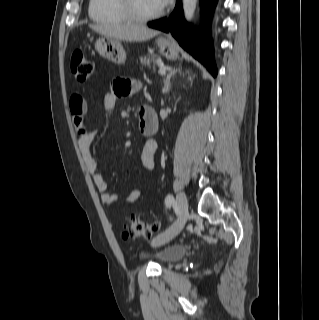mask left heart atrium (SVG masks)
Returning <instances> with one entry per match:
<instances>
[{
    "mask_svg": "<svg viewBox=\"0 0 319 320\" xmlns=\"http://www.w3.org/2000/svg\"><path fill=\"white\" fill-rule=\"evenodd\" d=\"M171 0H155L160 9L165 8Z\"/></svg>",
    "mask_w": 319,
    "mask_h": 320,
    "instance_id": "1",
    "label": "left heart atrium"
}]
</instances>
